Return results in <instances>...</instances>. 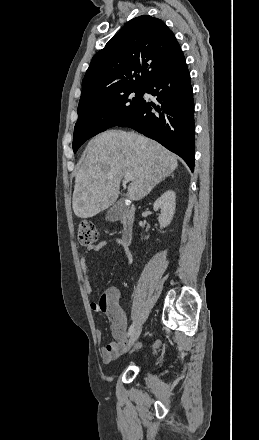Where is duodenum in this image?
Returning a JSON list of instances; mask_svg holds the SVG:
<instances>
[{"mask_svg": "<svg viewBox=\"0 0 259 440\" xmlns=\"http://www.w3.org/2000/svg\"><path fill=\"white\" fill-rule=\"evenodd\" d=\"M135 221V207L133 205L127 207L122 216V233L121 238L126 244H130L133 238Z\"/></svg>", "mask_w": 259, "mask_h": 440, "instance_id": "obj_1", "label": "duodenum"}]
</instances>
